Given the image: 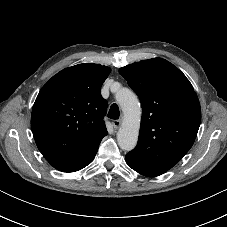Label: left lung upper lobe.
<instances>
[{
    "label": "left lung upper lobe",
    "instance_id": "1",
    "mask_svg": "<svg viewBox=\"0 0 227 227\" xmlns=\"http://www.w3.org/2000/svg\"><path fill=\"white\" fill-rule=\"evenodd\" d=\"M119 73L142 104L138 143L126 156L155 169H171L192 147L200 126L201 108L193 86L162 58L124 66Z\"/></svg>",
    "mask_w": 227,
    "mask_h": 227
}]
</instances>
